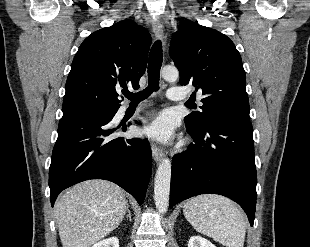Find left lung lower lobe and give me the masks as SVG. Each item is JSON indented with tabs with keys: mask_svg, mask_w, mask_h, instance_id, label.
Listing matches in <instances>:
<instances>
[{
	"mask_svg": "<svg viewBox=\"0 0 310 247\" xmlns=\"http://www.w3.org/2000/svg\"><path fill=\"white\" fill-rule=\"evenodd\" d=\"M185 153L172 159L170 208L190 197L214 193L237 202L251 226L256 208V167L250 121L219 120L197 131Z\"/></svg>",
	"mask_w": 310,
	"mask_h": 247,
	"instance_id": "left-lung-lower-lobe-1",
	"label": "left lung lower lobe"
}]
</instances>
